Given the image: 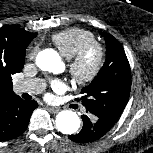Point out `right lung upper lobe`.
I'll return each mask as SVG.
<instances>
[{
    "label": "right lung upper lobe",
    "mask_w": 153,
    "mask_h": 153,
    "mask_svg": "<svg viewBox=\"0 0 153 153\" xmlns=\"http://www.w3.org/2000/svg\"><path fill=\"white\" fill-rule=\"evenodd\" d=\"M35 37L36 33L16 26L0 28V102L16 96L11 76L22 70L26 48Z\"/></svg>",
    "instance_id": "obj_1"
}]
</instances>
